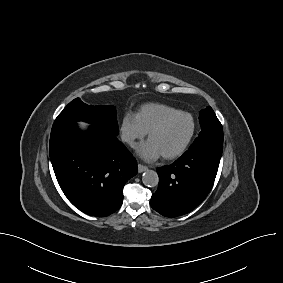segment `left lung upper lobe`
Masks as SVG:
<instances>
[{
    "instance_id": "left-lung-upper-lobe-1",
    "label": "left lung upper lobe",
    "mask_w": 283,
    "mask_h": 283,
    "mask_svg": "<svg viewBox=\"0 0 283 283\" xmlns=\"http://www.w3.org/2000/svg\"><path fill=\"white\" fill-rule=\"evenodd\" d=\"M201 132L190 148L208 146L218 151L223 150V128L213 109L208 106L200 112Z\"/></svg>"
}]
</instances>
